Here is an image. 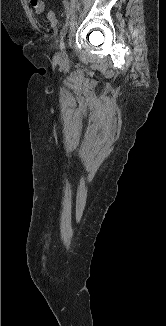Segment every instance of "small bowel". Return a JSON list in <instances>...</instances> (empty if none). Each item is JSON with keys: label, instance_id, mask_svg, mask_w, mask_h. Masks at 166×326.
Instances as JSON below:
<instances>
[{"label": "small bowel", "instance_id": "1", "mask_svg": "<svg viewBox=\"0 0 166 326\" xmlns=\"http://www.w3.org/2000/svg\"><path fill=\"white\" fill-rule=\"evenodd\" d=\"M29 3L35 13H41L45 8L44 0H29Z\"/></svg>", "mask_w": 166, "mask_h": 326}]
</instances>
